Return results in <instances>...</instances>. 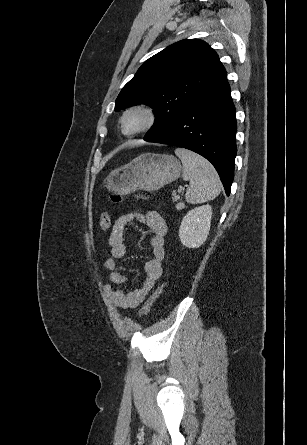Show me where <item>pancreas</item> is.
<instances>
[{
    "instance_id": "1",
    "label": "pancreas",
    "mask_w": 307,
    "mask_h": 445,
    "mask_svg": "<svg viewBox=\"0 0 307 445\" xmlns=\"http://www.w3.org/2000/svg\"><path fill=\"white\" fill-rule=\"evenodd\" d=\"M179 198H180L179 194H173V196H172L173 202H177V200H179Z\"/></svg>"
}]
</instances>
